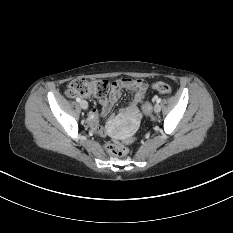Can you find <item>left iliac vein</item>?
<instances>
[{"instance_id":"left-iliac-vein-1","label":"left iliac vein","mask_w":233,"mask_h":233,"mask_svg":"<svg viewBox=\"0 0 233 233\" xmlns=\"http://www.w3.org/2000/svg\"><path fill=\"white\" fill-rule=\"evenodd\" d=\"M161 111V105L160 104H155V106H154V112L155 113H159Z\"/></svg>"}]
</instances>
